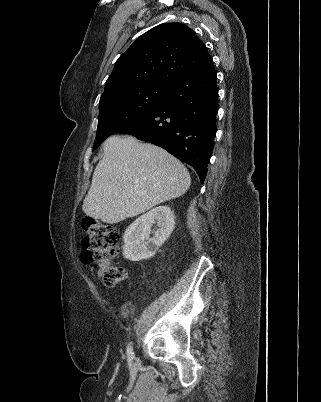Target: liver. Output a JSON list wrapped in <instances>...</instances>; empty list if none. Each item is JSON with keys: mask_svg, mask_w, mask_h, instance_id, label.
Here are the masks:
<instances>
[{"mask_svg": "<svg viewBox=\"0 0 321 402\" xmlns=\"http://www.w3.org/2000/svg\"><path fill=\"white\" fill-rule=\"evenodd\" d=\"M82 210L116 224L182 196L191 185L186 167L167 151L135 137L112 136L103 146Z\"/></svg>", "mask_w": 321, "mask_h": 402, "instance_id": "1", "label": "liver"}]
</instances>
